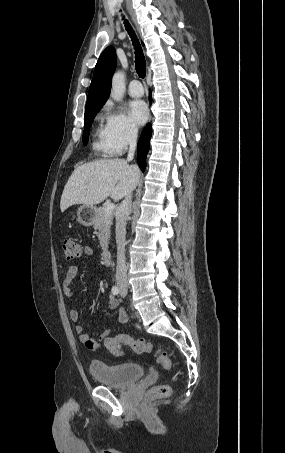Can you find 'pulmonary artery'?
<instances>
[{
	"instance_id": "e3ab8cb5",
	"label": "pulmonary artery",
	"mask_w": 285,
	"mask_h": 453,
	"mask_svg": "<svg viewBox=\"0 0 285 453\" xmlns=\"http://www.w3.org/2000/svg\"><path fill=\"white\" fill-rule=\"evenodd\" d=\"M128 94L131 97H135V98L143 96L144 89H143L142 84H141V82L139 80L134 79V80H132L129 83Z\"/></svg>"
}]
</instances>
